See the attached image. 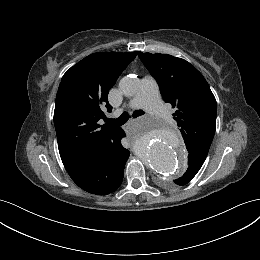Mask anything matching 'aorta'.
<instances>
[{"label": "aorta", "mask_w": 260, "mask_h": 260, "mask_svg": "<svg viewBox=\"0 0 260 260\" xmlns=\"http://www.w3.org/2000/svg\"><path fill=\"white\" fill-rule=\"evenodd\" d=\"M139 81L127 76L120 80L119 89L125 96H133L139 90ZM135 138L147 136L144 145L143 159L157 174L176 176L182 173L187 165L186 155L177 133L160 121L142 120L131 133Z\"/></svg>", "instance_id": "aorta-1"}]
</instances>
